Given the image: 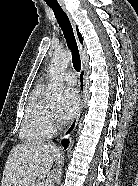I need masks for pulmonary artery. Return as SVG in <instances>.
Returning <instances> with one entry per match:
<instances>
[{
  "label": "pulmonary artery",
  "mask_w": 138,
  "mask_h": 186,
  "mask_svg": "<svg viewBox=\"0 0 138 186\" xmlns=\"http://www.w3.org/2000/svg\"><path fill=\"white\" fill-rule=\"evenodd\" d=\"M63 79L69 85H75L77 83L76 75L73 72L65 73Z\"/></svg>",
  "instance_id": "1"
}]
</instances>
